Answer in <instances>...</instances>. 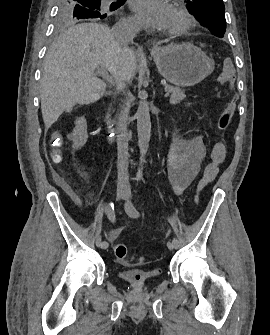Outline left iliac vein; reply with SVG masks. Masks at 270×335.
<instances>
[{
  "label": "left iliac vein",
  "mask_w": 270,
  "mask_h": 335,
  "mask_svg": "<svg viewBox=\"0 0 270 335\" xmlns=\"http://www.w3.org/2000/svg\"><path fill=\"white\" fill-rule=\"evenodd\" d=\"M124 199L126 201L125 210L129 216L133 217L128 211V205L131 203V193L129 191L126 192ZM167 247L169 250H173L175 248V246L171 242H167Z\"/></svg>",
  "instance_id": "left-iliac-vein-1"
}]
</instances>
